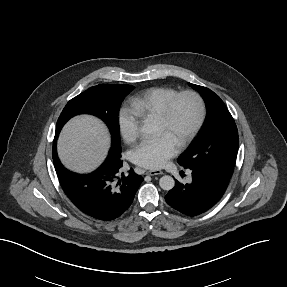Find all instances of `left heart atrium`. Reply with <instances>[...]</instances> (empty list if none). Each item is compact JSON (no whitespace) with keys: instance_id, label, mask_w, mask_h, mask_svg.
I'll list each match as a JSON object with an SVG mask.
<instances>
[{"instance_id":"39dd6f15","label":"left heart atrium","mask_w":287,"mask_h":287,"mask_svg":"<svg viewBox=\"0 0 287 287\" xmlns=\"http://www.w3.org/2000/svg\"><path fill=\"white\" fill-rule=\"evenodd\" d=\"M177 145L161 136L143 141L133 152V161L144 168L159 169L177 153Z\"/></svg>"}]
</instances>
